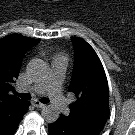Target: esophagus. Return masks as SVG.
Returning <instances> with one entry per match:
<instances>
[{
	"mask_svg": "<svg viewBox=\"0 0 135 135\" xmlns=\"http://www.w3.org/2000/svg\"><path fill=\"white\" fill-rule=\"evenodd\" d=\"M32 105L38 108H43L45 105L41 103L39 100L32 101Z\"/></svg>",
	"mask_w": 135,
	"mask_h": 135,
	"instance_id": "34e87169",
	"label": "esophagus"
}]
</instances>
